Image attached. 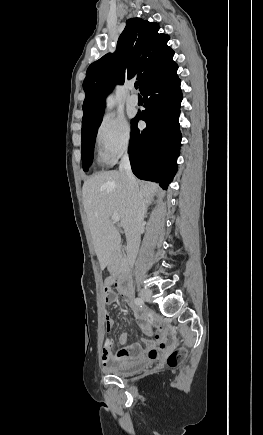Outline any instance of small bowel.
Returning <instances> with one entry per match:
<instances>
[{
	"label": "small bowel",
	"instance_id": "obj_1",
	"mask_svg": "<svg viewBox=\"0 0 263 435\" xmlns=\"http://www.w3.org/2000/svg\"><path fill=\"white\" fill-rule=\"evenodd\" d=\"M115 283L112 277H108L105 280V290L109 291L113 298L110 300H105L106 304H112L116 301L117 295L111 289L112 285ZM133 316L138 324V326L144 331L147 336L152 335L151 326L155 323L156 319L152 314L145 313L141 311L138 307L131 304ZM114 321L112 317L106 313L105 315V326L109 331L113 327ZM159 336H157L158 338ZM128 340V335L126 333H121L118 337V342L124 347L121 348L116 354H113L112 350L102 349V365L107 368L113 364H125L140 361L142 359L148 358L151 360H156L160 357L162 351L167 347V341L161 342L158 346L149 338L144 337V347L139 344H133L130 346H125Z\"/></svg>",
	"mask_w": 263,
	"mask_h": 435
}]
</instances>
